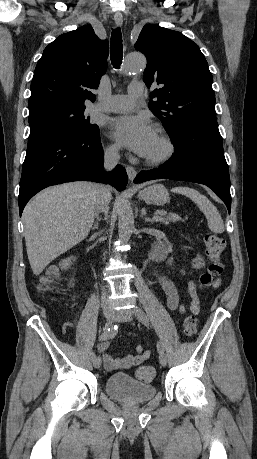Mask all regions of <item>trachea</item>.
I'll return each instance as SVG.
<instances>
[{
	"label": "trachea",
	"instance_id": "obj_1",
	"mask_svg": "<svg viewBox=\"0 0 257 459\" xmlns=\"http://www.w3.org/2000/svg\"><path fill=\"white\" fill-rule=\"evenodd\" d=\"M111 62L114 68L119 69L123 58L122 34L120 28H116L111 35Z\"/></svg>",
	"mask_w": 257,
	"mask_h": 459
}]
</instances>
